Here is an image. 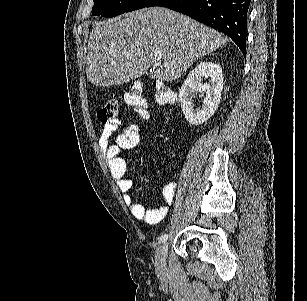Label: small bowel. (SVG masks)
Here are the masks:
<instances>
[{"label":"small bowel","mask_w":307,"mask_h":301,"mask_svg":"<svg viewBox=\"0 0 307 301\" xmlns=\"http://www.w3.org/2000/svg\"><path fill=\"white\" fill-rule=\"evenodd\" d=\"M120 126L119 120L105 124L98 140L99 147L105 155L110 173L123 194L124 202L129 207L131 214L148 224H157L165 217L174 199L176 183L170 181L163 187L162 205L156 209L148 208L135 201L130 194L133 184L127 177L126 162L118 154L121 149L129 150L139 144L143 127L131 124L126 126L121 133L115 134Z\"/></svg>","instance_id":"c3829d8e"}]
</instances>
